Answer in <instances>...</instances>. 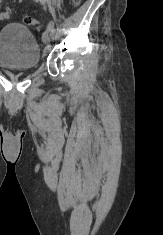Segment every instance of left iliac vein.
Returning <instances> with one entry per match:
<instances>
[{
    "mask_svg": "<svg viewBox=\"0 0 163 235\" xmlns=\"http://www.w3.org/2000/svg\"><path fill=\"white\" fill-rule=\"evenodd\" d=\"M42 40L45 44H49L51 41V35L50 32L48 30H45L42 34ZM49 50V47L46 48L45 52H47Z\"/></svg>",
    "mask_w": 163,
    "mask_h": 235,
    "instance_id": "left-iliac-vein-1",
    "label": "left iliac vein"
}]
</instances>
